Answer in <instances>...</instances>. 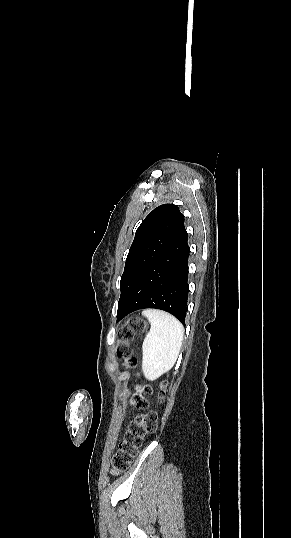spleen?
Returning <instances> with one entry per match:
<instances>
[{
  "label": "spleen",
  "instance_id": "obj_1",
  "mask_svg": "<svg viewBox=\"0 0 291 538\" xmlns=\"http://www.w3.org/2000/svg\"><path fill=\"white\" fill-rule=\"evenodd\" d=\"M144 315L151 328L142 344V370L147 379L155 380L174 366L184 327L174 316L161 310H145Z\"/></svg>",
  "mask_w": 291,
  "mask_h": 538
}]
</instances>
